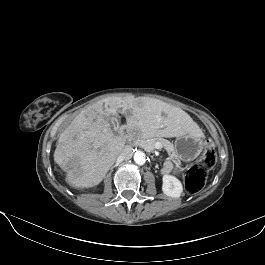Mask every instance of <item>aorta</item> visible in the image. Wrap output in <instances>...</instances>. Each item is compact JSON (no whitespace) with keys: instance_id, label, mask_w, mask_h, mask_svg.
I'll list each match as a JSON object with an SVG mask.
<instances>
[{"instance_id":"1","label":"aorta","mask_w":265,"mask_h":265,"mask_svg":"<svg viewBox=\"0 0 265 265\" xmlns=\"http://www.w3.org/2000/svg\"><path fill=\"white\" fill-rule=\"evenodd\" d=\"M133 158H134L135 163L138 164V165H144L145 162H146V155L142 151H136L134 153V157Z\"/></svg>"}]
</instances>
